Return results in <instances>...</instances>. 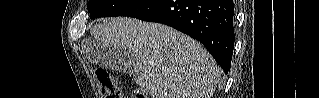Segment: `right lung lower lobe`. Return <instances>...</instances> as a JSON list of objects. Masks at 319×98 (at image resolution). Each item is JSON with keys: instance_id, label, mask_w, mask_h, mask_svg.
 <instances>
[{"instance_id": "obj_1", "label": "right lung lower lobe", "mask_w": 319, "mask_h": 98, "mask_svg": "<svg viewBox=\"0 0 319 98\" xmlns=\"http://www.w3.org/2000/svg\"><path fill=\"white\" fill-rule=\"evenodd\" d=\"M120 16L171 26L200 41L225 73L230 70L233 0H146Z\"/></svg>"}]
</instances>
